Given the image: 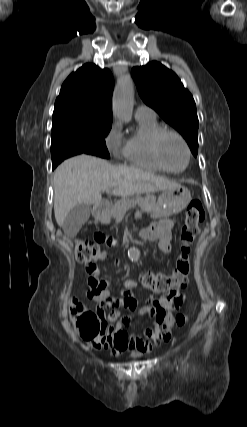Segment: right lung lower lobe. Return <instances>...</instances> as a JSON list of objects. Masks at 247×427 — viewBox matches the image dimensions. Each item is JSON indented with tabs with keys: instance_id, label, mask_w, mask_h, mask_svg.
Masks as SVG:
<instances>
[{
	"instance_id": "1",
	"label": "right lung lower lobe",
	"mask_w": 247,
	"mask_h": 427,
	"mask_svg": "<svg viewBox=\"0 0 247 427\" xmlns=\"http://www.w3.org/2000/svg\"><path fill=\"white\" fill-rule=\"evenodd\" d=\"M71 156H73V155H63V156H60V157H57V158H55V159H52V166H53V169L59 164V163H61L64 159H66V158H68V157H71Z\"/></svg>"
}]
</instances>
